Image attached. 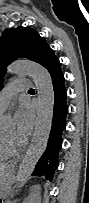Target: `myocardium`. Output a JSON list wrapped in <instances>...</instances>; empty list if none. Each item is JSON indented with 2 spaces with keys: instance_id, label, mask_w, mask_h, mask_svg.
I'll list each match as a JSON object with an SVG mask.
<instances>
[{
  "instance_id": "obj_1",
  "label": "myocardium",
  "mask_w": 89,
  "mask_h": 203,
  "mask_svg": "<svg viewBox=\"0 0 89 203\" xmlns=\"http://www.w3.org/2000/svg\"><path fill=\"white\" fill-rule=\"evenodd\" d=\"M0 137L2 140L3 149L7 155L16 156L22 152L24 148L23 144L19 146H15L14 144L10 143L4 138L3 133L0 134Z\"/></svg>"
}]
</instances>
